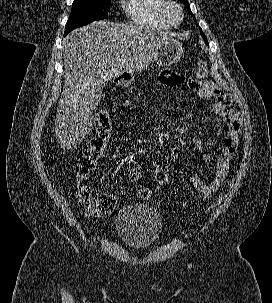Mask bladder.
I'll list each match as a JSON object with an SVG mask.
<instances>
[{"instance_id": "obj_1", "label": "bladder", "mask_w": 272, "mask_h": 303, "mask_svg": "<svg viewBox=\"0 0 272 303\" xmlns=\"http://www.w3.org/2000/svg\"><path fill=\"white\" fill-rule=\"evenodd\" d=\"M115 228L119 238L128 247L144 249L159 238L163 221L154 207L133 203L118 212Z\"/></svg>"}]
</instances>
